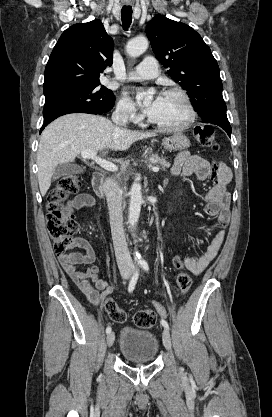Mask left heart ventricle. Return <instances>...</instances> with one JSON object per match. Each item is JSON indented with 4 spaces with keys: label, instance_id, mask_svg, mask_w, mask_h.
<instances>
[{
    "label": "left heart ventricle",
    "instance_id": "left-heart-ventricle-1",
    "mask_svg": "<svg viewBox=\"0 0 272 417\" xmlns=\"http://www.w3.org/2000/svg\"><path fill=\"white\" fill-rule=\"evenodd\" d=\"M187 108L178 96L163 95L157 113L151 119L162 125H178L187 118Z\"/></svg>",
    "mask_w": 272,
    "mask_h": 417
}]
</instances>
